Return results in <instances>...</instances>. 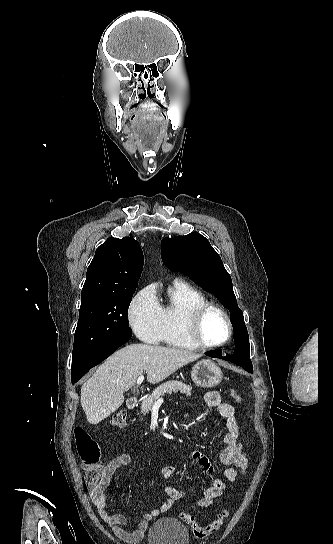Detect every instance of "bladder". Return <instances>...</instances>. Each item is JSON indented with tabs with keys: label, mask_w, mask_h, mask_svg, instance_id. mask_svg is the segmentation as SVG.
<instances>
[{
	"label": "bladder",
	"mask_w": 333,
	"mask_h": 544,
	"mask_svg": "<svg viewBox=\"0 0 333 544\" xmlns=\"http://www.w3.org/2000/svg\"><path fill=\"white\" fill-rule=\"evenodd\" d=\"M189 541L186 526L171 517H164L154 522L147 536V544H189Z\"/></svg>",
	"instance_id": "1"
}]
</instances>
